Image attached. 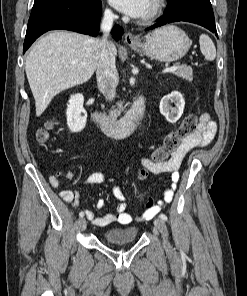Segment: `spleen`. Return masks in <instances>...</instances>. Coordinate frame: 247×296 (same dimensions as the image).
Masks as SVG:
<instances>
[{"mask_svg":"<svg viewBox=\"0 0 247 296\" xmlns=\"http://www.w3.org/2000/svg\"><path fill=\"white\" fill-rule=\"evenodd\" d=\"M200 50L208 61H213L216 58V48L211 38L206 34H201L199 37Z\"/></svg>","mask_w":247,"mask_h":296,"instance_id":"3e777b00","label":"spleen"}]
</instances>
